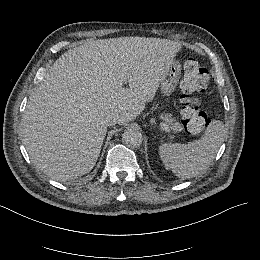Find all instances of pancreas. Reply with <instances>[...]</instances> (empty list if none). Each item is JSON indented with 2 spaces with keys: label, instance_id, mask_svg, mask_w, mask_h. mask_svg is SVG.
Returning <instances> with one entry per match:
<instances>
[{
  "label": "pancreas",
  "instance_id": "obj_1",
  "mask_svg": "<svg viewBox=\"0 0 260 260\" xmlns=\"http://www.w3.org/2000/svg\"><path fill=\"white\" fill-rule=\"evenodd\" d=\"M160 118L171 128L173 131H181L183 126L172 117V114L166 113L162 114Z\"/></svg>",
  "mask_w": 260,
  "mask_h": 260
}]
</instances>
